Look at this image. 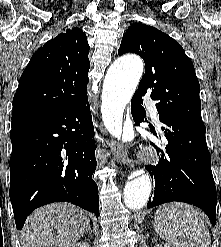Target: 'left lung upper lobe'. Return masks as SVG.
<instances>
[{"mask_svg":"<svg viewBox=\"0 0 221 247\" xmlns=\"http://www.w3.org/2000/svg\"><path fill=\"white\" fill-rule=\"evenodd\" d=\"M136 53L145 62V74L136 94L147 91L159 116L203 124L200 85L194 66L179 43L158 29L133 23L122 38L118 55Z\"/></svg>","mask_w":221,"mask_h":247,"instance_id":"obj_1","label":"left lung upper lobe"}]
</instances>
